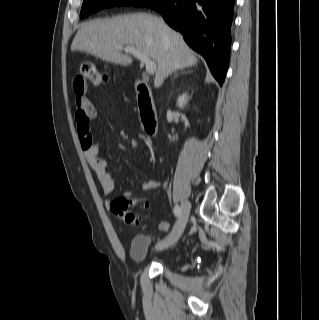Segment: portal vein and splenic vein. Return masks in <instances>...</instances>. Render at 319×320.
Returning <instances> with one entry per match:
<instances>
[{
	"mask_svg": "<svg viewBox=\"0 0 319 320\" xmlns=\"http://www.w3.org/2000/svg\"><path fill=\"white\" fill-rule=\"evenodd\" d=\"M116 49L118 50H124L126 53L132 54L134 57L140 60L141 63L145 64L146 66V72L148 74H154L156 71V63L152 61L148 56L140 52L139 50L133 48V47H123L120 45L116 46Z\"/></svg>",
	"mask_w": 319,
	"mask_h": 320,
	"instance_id": "18ae733b",
	"label": "portal vein and splenic vein"
}]
</instances>
